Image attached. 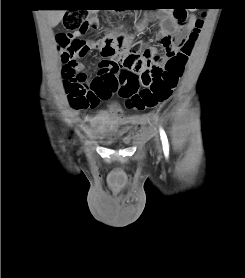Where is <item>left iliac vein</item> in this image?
<instances>
[{
	"label": "left iliac vein",
	"instance_id": "obj_1",
	"mask_svg": "<svg viewBox=\"0 0 245 278\" xmlns=\"http://www.w3.org/2000/svg\"><path fill=\"white\" fill-rule=\"evenodd\" d=\"M155 142H156L157 149L160 150V143L157 137L155 138Z\"/></svg>",
	"mask_w": 245,
	"mask_h": 278
}]
</instances>
